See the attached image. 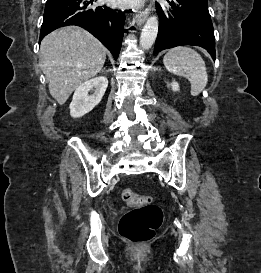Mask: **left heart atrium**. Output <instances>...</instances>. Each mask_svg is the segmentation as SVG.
<instances>
[{"label":"left heart atrium","instance_id":"1","mask_svg":"<svg viewBox=\"0 0 261 273\" xmlns=\"http://www.w3.org/2000/svg\"><path fill=\"white\" fill-rule=\"evenodd\" d=\"M139 0H118L119 4H137Z\"/></svg>","mask_w":261,"mask_h":273}]
</instances>
